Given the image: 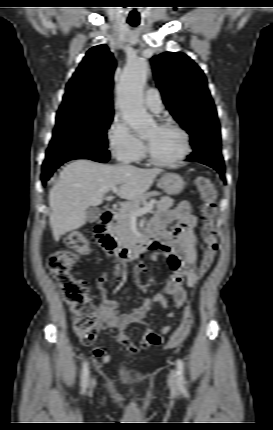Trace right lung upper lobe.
Segmentation results:
<instances>
[{
  "label": "right lung upper lobe",
  "instance_id": "right-lung-upper-lobe-1",
  "mask_svg": "<svg viewBox=\"0 0 273 430\" xmlns=\"http://www.w3.org/2000/svg\"><path fill=\"white\" fill-rule=\"evenodd\" d=\"M115 60L106 45L91 48L69 80L60 109L113 111Z\"/></svg>",
  "mask_w": 273,
  "mask_h": 430
}]
</instances>
